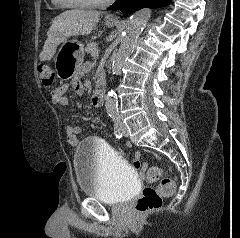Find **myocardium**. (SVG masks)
Returning <instances> with one entry per match:
<instances>
[{"mask_svg":"<svg viewBox=\"0 0 240 238\" xmlns=\"http://www.w3.org/2000/svg\"><path fill=\"white\" fill-rule=\"evenodd\" d=\"M67 7L77 8H100L109 5L113 0H102L98 2H84V1H72V0H60Z\"/></svg>","mask_w":240,"mask_h":238,"instance_id":"f54148a6","label":"myocardium"}]
</instances>
